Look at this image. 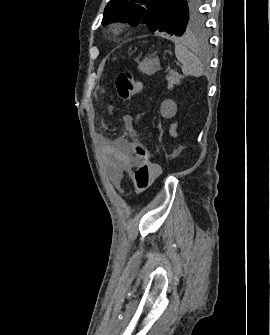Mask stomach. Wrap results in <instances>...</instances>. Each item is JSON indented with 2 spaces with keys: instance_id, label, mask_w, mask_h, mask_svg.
<instances>
[{
  "instance_id": "stomach-1",
  "label": "stomach",
  "mask_w": 270,
  "mask_h": 335,
  "mask_svg": "<svg viewBox=\"0 0 270 335\" xmlns=\"http://www.w3.org/2000/svg\"><path fill=\"white\" fill-rule=\"evenodd\" d=\"M138 68L140 72L150 76V74H155L157 70H160V62L158 58H145V60L138 62Z\"/></svg>"
}]
</instances>
